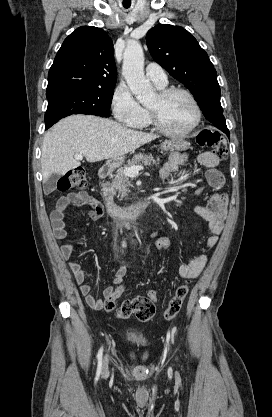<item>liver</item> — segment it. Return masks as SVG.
<instances>
[{
  "mask_svg": "<svg viewBox=\"0 0 272 417\" xmlns=\"http://www.w3.org/2000/svg\"><path fill=\"white\" fill-rule=\"evenodd\" d=\"M159 136L129 129L120 123L92 115H72L60 120L44 135L41 155L43 181L64 175L81 165L83 154L90 163L116 159Z\"/></svg>",
  "mask_w": 272,
  "mask_h": 417,
  "instance_id": "1",
  "label": "liver"
}]
</instances>
